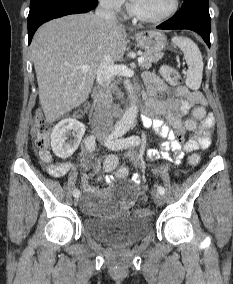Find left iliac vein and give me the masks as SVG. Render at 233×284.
I'll list each match as a JSON object with an SVG mask.
<instances>
[{"label":"left iliac vein","mask_w":233,"mask_h":284,"mask_svg":"<svg viewBox=\"0 0 233 284\" xmlns=\"http://www.w3.org/2000/svg\"><path fill=\"white\" fill-rule=\"evenodd\" d=\"M100 141L107 144V139L104 137H100ZM154 200L157 203V205L162 206L164 204V196L160 193H156L154 195Z\"/></svg>","instance_id":"obj_1"}]
</instances>
